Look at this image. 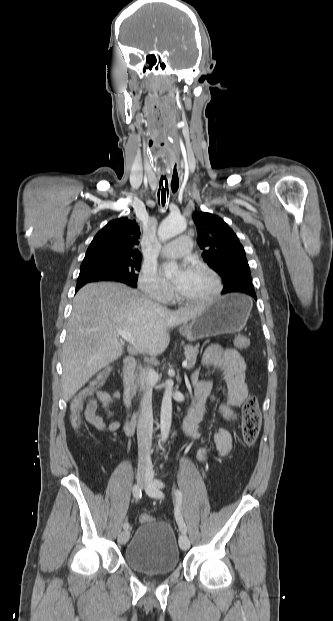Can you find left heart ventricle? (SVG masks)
<instances>
[{
	"label": "left heart ventricle",
	"instance_id": "1",
	"mask_svg": "<svg viewBox=\"0 0 333 621\" xmlns=\"http://www.w3.org/2000/svg\"><path fill=\"white\" fill-rule=\"evenodd\" d=\"M215 288L210 276L203 272L191 270V274L185 285L178 290L181 296L187 298H202L209 296Z\"/></svg>",
	"mask_w": 333,
	"mask_h": 621
}]
</instances>
